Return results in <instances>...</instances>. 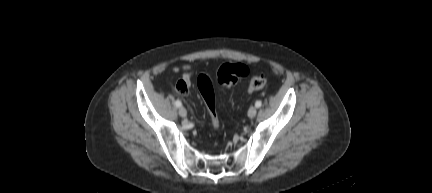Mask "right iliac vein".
<instances>
[{
	"mask_svg": "<svg viewBox=\"0 0 432 193\" xmlns=\"http://www.w3.org/2000/svg\"><path fill=\"white\" fill-rule=\"evenodd\" d=\"M178 112L181 117H186L187 115V111L184 107H180Z\"/></svg>",
	"mask_w": 432,
	"mask_h": 193,
	"instance_id": "obj_1",
	"label": "right iliac vein"
}]
</instances>
